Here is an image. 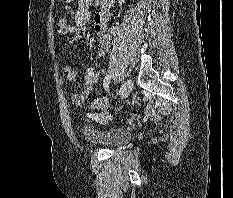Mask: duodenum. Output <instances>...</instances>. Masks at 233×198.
Here are the masks:
<instances>
[{
  "label": "duodenum",
  "mask_w": 233,
  "mask_h": 198,
  "mask_svg": "<svg viewBox=\"0 0 233 198\" xmlns=\"http://www.w3.org/2000/svg\"><path fill=\"white\" fill-rule=\"evenodd\" d=\"M104 3H105L106 5H110V4L112 3V0H104Z\"/></svg>",
  "instance_id": "1"
}]
</instances>
